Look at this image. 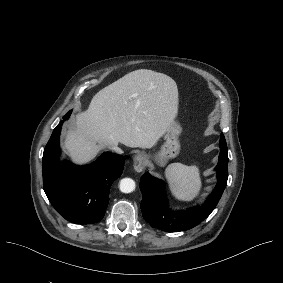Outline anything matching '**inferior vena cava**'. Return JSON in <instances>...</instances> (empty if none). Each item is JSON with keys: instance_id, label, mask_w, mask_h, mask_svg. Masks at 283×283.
Wrapping results in <instances>:
<instances>
[{"instance_id": "inferior-vena-cava-1", "label": "inferior vena cava", "mask_w": 283, "mask_h": 283, "mask_svg": "<svg viewBox=\"0 0 283 283\" xmlns=\"http://www.w3.org/2000/svg\"><path fill=\"white\" fill-rule=\"evenodd\" d=\"M112 149H113V151H114L115 153H117V154H119V155L123 154L122 149L119 148V147H117V146L113 147Z\"/></svg>"}]
</instances>
